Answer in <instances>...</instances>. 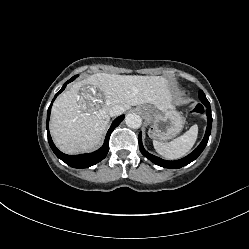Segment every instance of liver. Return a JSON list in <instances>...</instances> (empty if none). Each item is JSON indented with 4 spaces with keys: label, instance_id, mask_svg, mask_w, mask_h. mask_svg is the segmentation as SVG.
Wrapping results in <instances>:
<instances>
[{
    "label": "liver",
    "instance_id": "1",
    "mask_svg": "<svg viewBox=\"0 0 249 249\" xmlns=\"http://www.w3.org/2000/svg\"><path fill=\"white\" fill-rule=\"evenodd\" d=\"M101 91L103 97L81 96L85 89ZM173 92L163 77L97 73L74 83L54 102L50 133L64 153L93 150L110 121L109 109L120 105L151 104L159 111L172 109Z\"/></svg>",
    "mask_w": 249,
    "mask_h": 249
}]
</instances>
